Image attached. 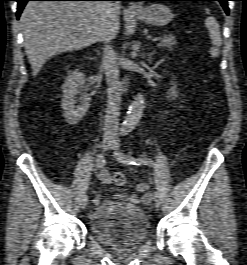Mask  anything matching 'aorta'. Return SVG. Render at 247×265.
Returning a JSON list of instances; mask_svg holds the SVG:
<instances>
[{"label":"aorta","mask_w":247,"mask_h":265,"mask_svg":"<svg viewBox=\"0 0 247 265\" xmlns=\"http://www.w3.org/2000/svg\"><path fill=\"white\" fill-rule=\"evenodd\" d=\"M144 110V96L141 93H138L131 105L129 106L127 116L125 121L122 124V130L124 132H130L138 124L139 120L143 115Z\"/></svg>","instance_id":"762f6f07"}]
</instances>
